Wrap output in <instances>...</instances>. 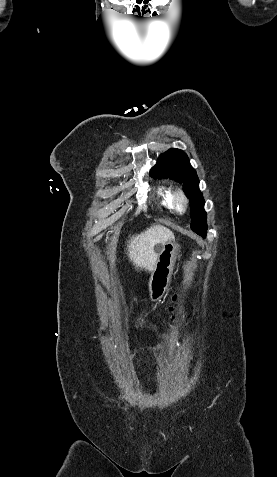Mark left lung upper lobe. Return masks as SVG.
I'll use <instances>...</instances> for the list:
<instances>
[{
    "instance_id": "left-lung-upper-lobe-1",
    "label": "left lung upper lobe",
    "mask_w": 277,
    "mask_h": 477,
    "mask_svg": "<svg viewBox=\"0 0 277 477\" xmlns=\"http://www.w3.org/2000/svg\"><path fill=\"white\" fill-rule=\"evenodd\" d=\"M150 174L154 178H170L183 184V191L190 200L191 229L194 232L204 233L207 230L205 201L199 190L196 171L186 153L179 149H169L159 156Z\"/></svg>"
}]
</instances>
